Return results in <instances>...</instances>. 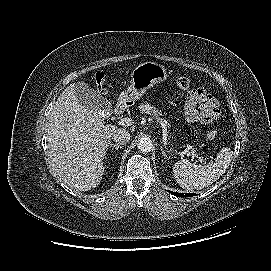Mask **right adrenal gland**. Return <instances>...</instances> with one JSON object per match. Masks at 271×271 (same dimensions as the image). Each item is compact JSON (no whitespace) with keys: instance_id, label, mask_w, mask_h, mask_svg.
<instances>
[{"instance_id":"obj_1","label":"right adrenal gland","mask_w":271,"mask_h":271,"mask_svg":"<svg viewBox=\"0 0 271 271\" xmlns=\"http://www.w3.org/2000/svg\"><path fill=\"white\" fill-rule=\"evenodd\" d=\"M109 148H111L112 150L115 148L116 150H119L120 148H122V145L119 144H110ZM108 150V148H107Z\"/></svg>"}]
</instances>
